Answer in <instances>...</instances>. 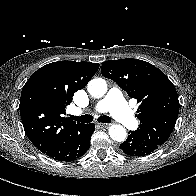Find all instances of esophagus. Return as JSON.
<instances>
[{"mask_svg":"<svg viewBox=\"0 0 196 196\" xmlns=\"http://www.w3.org/2000/svg\"><path fill=\"white\" fill-rule=\"evenodd\" d=\"M110 125L111 124L99 123V126L104 127V128L109 127Z\"/></svg>","mask_w":196,"mask_h":196,"instance_id":"obj_1","label":"esophagus"}]
</instances>
